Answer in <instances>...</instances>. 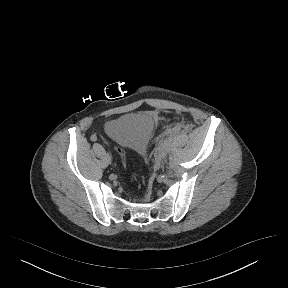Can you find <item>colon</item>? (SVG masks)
<instances>
[{
  "mask_svg": "<svg viewBox=\"0 0 288 288\" xmlns=\"http://www.w3.org/2000/svg\"><path fill=\"white\" fill-rule=\"evenodd\" d=\"M114 150L118 152V155L121 159V161L125 164L126 163V151L123 150L122 148L115 146Z\"/></svg>",
  "mask_w": 288,
  "mask_h": 288,
  "instance_id": "5ec220e1",
  "label": "colon"
}]
</instances>
